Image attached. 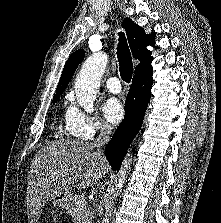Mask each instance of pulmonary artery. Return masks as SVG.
Masks as SVG:
<instances>
[{
	"label": "pulmonary artery",
	"instance_id": "pulmonary-artery-1",
	"mask_svg": "<svg viewBox=\"0 0 221 223\" xmlns=\"http://www.w3.org/2000/svg\"><path fill=\"white\" fill-rule=\"evenodd\" d=\"M106 87L113 93H119L121 91V84L119 78L116 76H110L105 81Z\"/></svg>",
	"mask_w": 221,
	"mask_h": 223
}]
</instances>
